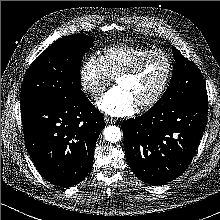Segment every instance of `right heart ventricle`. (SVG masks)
<instances>
[{
	"label": "right heart ventricle",
	"mask_w": 220,
	"mask_h": 220,
	"mask_svg": "<svg viewBox=\"0 0 220 220\" xmlns=\"http://www.w3.org/2000/svg\"><path fill=\"white\" fill-rule=\"evenodd\" d=\"M152 50L154 49L151 47L139 45L109 46L103 49L101 59L109 75L115 77L139 57Z\"/></svg>",
	"instance_id": "right-heart-ventricle-1"
}]
</instances>
